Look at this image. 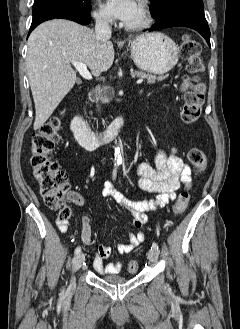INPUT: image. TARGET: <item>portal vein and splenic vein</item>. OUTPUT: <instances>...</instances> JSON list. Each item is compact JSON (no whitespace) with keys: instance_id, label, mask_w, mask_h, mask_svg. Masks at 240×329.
<instances>
[{"instance_id":"18ae733b","label":"portal vein and splenic vein","mask_w":240,"mask_h":329,"mask_svg":"<svg viewBox=\"0 0 240 329\" xmlns=\"http://www.w3.org/2000/svg\"><path fill=\"white\" fill-rule=\"evenodd\" d=\"M72 65L77 69V71L79 72V74L87 79V80H91L92 79V75L91 73L87 70V66L84 63L81 62H72ZM143 82V79H138L136 81L137 84H140Z\"/></svg>"}]
</instances>
